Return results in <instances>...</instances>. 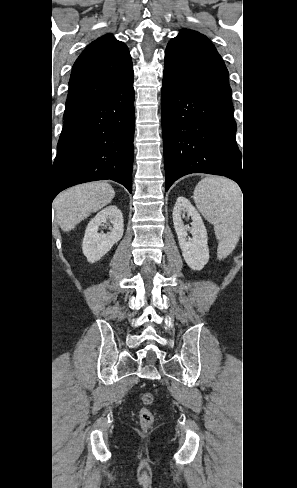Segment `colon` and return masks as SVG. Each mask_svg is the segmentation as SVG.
Wrapping results in <instances>:
<instances>
[{"instance_id":"obj_1","label":"colon","mask_w":297,"mask_h":488,"mask_svg":"<svg viewBox=\"0 0 297 488\" xmlns=\"http://www.w3.org/2000/svg\"><path fill=\"white\" fill-rule=\"evenodd\" d=\"M142 408L139 411V422L142 428H149L154 421V415L149 409L153 403V395L151 393H143L141 395Z\"/></svg>"}]
</instances>
